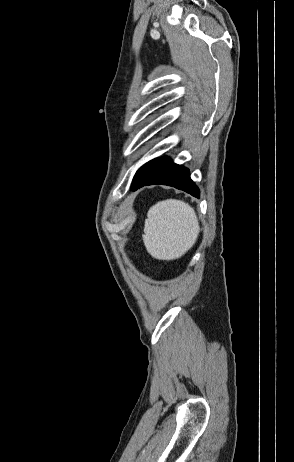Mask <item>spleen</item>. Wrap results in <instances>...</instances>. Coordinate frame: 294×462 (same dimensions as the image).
I'll list each match as a JSON object with an SVG mask.
<instances>
[{"instance_id":"obj_1","label":"spleen","mask_w":294,"mask_h":462,"mask_svg":"<svg viewBox=\"0 0 294 462\" xmlns=\"http://www.w3.org/2000/svg\"><path fill=\"white\" fill-rule=\"evenodd\" d=\"M199 232L194 209L183 201L168 199L149 209L143 242L154 258L172 260L181 257L193 246Z\"/></svg>"}]
</instances>
